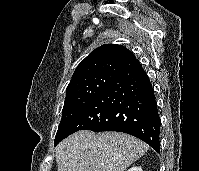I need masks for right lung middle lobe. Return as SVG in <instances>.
<instances>
[{
	"instance_id": "right-lung-middle-lobe-1",
	"label": "right lung middle lobe",
	"mask_w": 199,
	"mask_h": 171,
	"mask_svg": "<svg viewBox=\"0 0 199 171\" xmlns=\"http://www.w3.org/2000/svg\"><path fill=\"white\" fill-rule=\"evenodd\" d=\"M113 77V75L107 74L96 75L83 81L74 88L67 90L65 103L62 110V119L55 136V144L60 141L65 129L74 119L76 114L81 110V108Z\"/></svg>"
}]
</instances>
